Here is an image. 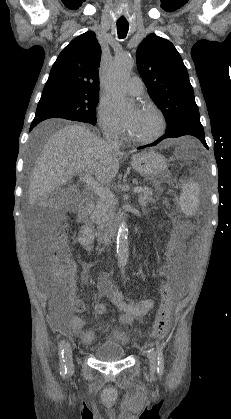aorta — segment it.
Here are the masks:
<instances>
[{"label":"aorta","mask_w":231,"mask_h":419,"mask_svg":"<svg viewBox=\"0 0 231 419\" xmlns=\"http://www.w3.org/2000/svg\"><path fill=\"white\" fill-rule=\"evenodd\" d=\"M134 60L127 54H121L115 57L106 76V88L117 111H125L129 106V100L125 94V84L130 76ZM117 260L119 265L125 266L129 257L128 226L122 222L117 234Z\"/></svg>","instance_id":"obj_1"}]
</instances>
